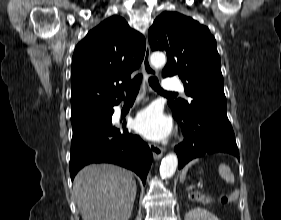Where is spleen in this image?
Returning <instances> with one entry per match:
<instances>
[{
    "label": "spleen",
    "mask_w": 281,
    "mask_h": 220,
    "mask_svg": "<svg viewBox=\"0 0 281 220\" xmlns=\"http://www.w3.org/2000/svg\"><path fill=\"white\" fill-rule=\"evenodd\" d=\"M199 159H194L192 160L191 162H189L183 169H182V172H181V175H180V181L183 182L184 179H185V176H186V173L189 169V167H191L193 164H195L196 162H198ZM218 172H219V175L222 177V179H224L226 182L230 183V184H233L234 183V175L233 173L231 172V169L228 165L224 164V163H221L219 165V168H218Z\"/></svg>",
    "instance_id": "obj_1"
}]
</instances>
